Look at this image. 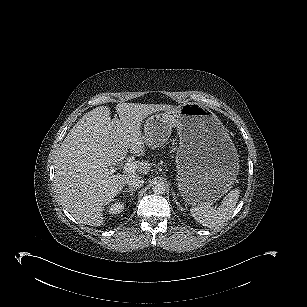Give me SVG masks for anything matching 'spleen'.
<instances>
[{"instance_id":"spleen-1","label":"spleen","mask_w":307,"mask_h":307,"mask_svg":"<svg viewBox=\"0 0 307 307\" xmlns=\"http://www.w3.org/2000/svg\"><path fill=\"white\" fill-rule=\"evenodd\" d=\"M240 190L235 188L231 190L223 199L221 205L212 207V202H202L192 206L190 212L192 217L201 225L208 228H217L224 224L232 215Z\"/></svg>"}]
</instances>
